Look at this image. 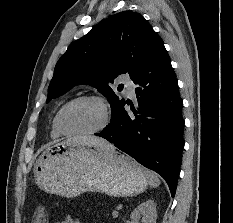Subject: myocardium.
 Returning a JSON list of instances; mask_svg holds the SVG:
<instances>
[{"label":"myocardium","mask_w":233,"mask_h":223,"mask_svg":"<svg viewBox=\"0 0 233 223\" xmlns=\"http://www.w3.org/2000/svg\"><path fill=\"white\" fill-rule=\"evenodd\" d=\"M80 101H95L99 103L103 109L104 112V123L100 128L97 130L91 131V132H84V133H75V132H70L69 130L66 129V127L63 124V115L65 111L74 103L80 102ZM111 123V114L108 108V105L105 101V99L101 96L98 95H81L78 97H75L68 102H66L57 112L56 117H55V127L57 131L65 136H70V137H91L94 135H98L102 132H104L110 125Z\"/></svg>","instance_id":"myocardium-1"}]
</instances>
